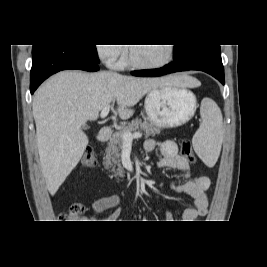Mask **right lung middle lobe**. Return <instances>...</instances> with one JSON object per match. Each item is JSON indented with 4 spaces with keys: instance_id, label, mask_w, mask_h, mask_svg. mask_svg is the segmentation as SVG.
<instances>
[{
    "instance_id": "right-lung-middle-lobe-1",
    "label": "right lung middle lobe",
    "mask_w": 267,
    "mask_h": 267,
    "mask_svg": "<svg viewBox=\"0 0 267 267\" xmlns=\"http://www.w3.org/2000/svg\"><path fill=\"white\" fill-rule=\"evenodd\" d=\"M73 46L81 50L86 55H88L92 60L99 62L97 56V49L95 45H73Z\"/></svg>"
}]
</instances>
